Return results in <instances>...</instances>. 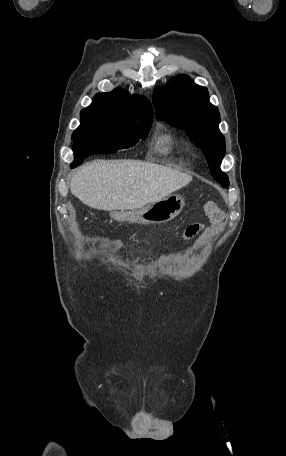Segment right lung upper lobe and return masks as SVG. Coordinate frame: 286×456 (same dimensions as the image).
<instances>
[{
    "mask_svg": "<svg viewBox=\"0 0 286 456\" xmlns=\"http://www.w3.org/2000/svg\"><path fill=\"white\" fill-rule=\"evenodd\" d=\"M87 110L109 112L126 118L153 119L152 105L146 97L131 96L122 89L96 94Z\"/></svg>",
    "mask_w": 286,
    "mask_h": 456,
    "instance_id": "1",
    "label": "right lung upper lobe"
}]
</instances>
